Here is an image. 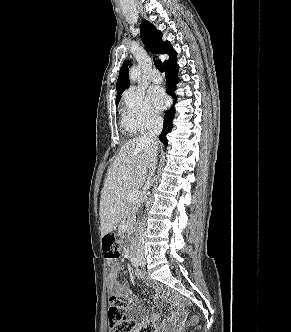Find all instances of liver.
Returning a JSON list of instances; mask_svg holds the SVG:
<instances>
[{"instance_id":"obj_1","label":"liver","mask_w":291,"mask_h":332,"mask_svg":"<svg viewBox=\"0 0 291 332\" xmlns=\"http://www.w3.org/2000/svg\"><path fill=\"white\" fill-rule=\"evenodd\" d=\"M150 164L149 151L140 138L126 142L109 168L100 199L101 235L112 232L122 220L128 193L145 183Z\"/></svg>"}]
</instances>
